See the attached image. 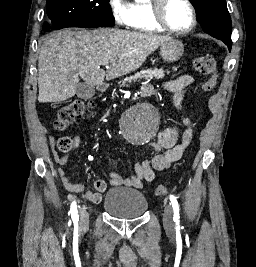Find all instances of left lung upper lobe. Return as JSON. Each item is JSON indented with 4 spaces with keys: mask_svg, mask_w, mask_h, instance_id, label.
Segmentation results:
<instances>
[{
    "mask_svg": "<svg viewBox=\"0 0 256 267\" xmlns=\"http://www.w3.org/2000/svg\"><path fill=\"white\" fill-rule=\"evenodd\" d=\"M198 14L203 30L213 37L222 40L231 51L232 41L231 18L226 0H190Z\"/></svg>",
    "mask_w": 256,
    "mask_h": 267,
    "instance_id": "1",
    "label": "left lung upper lobe"
}]
</instances>
